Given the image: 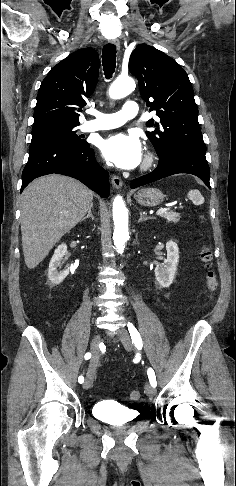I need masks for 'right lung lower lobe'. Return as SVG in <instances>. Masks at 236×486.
<instances>
[{
	"mask_svg": "<svg viewBox=\"0 0 236 486\" xmlns=\"http://www.w3.org/2000/svg\"><path fill=\"white\" fill-rule=\"evenodd\" d=\"M52 173L78 179L100 196L109 197V174L99 166L87 142L82 145L50 141L31 143L20 193L35 178Z\"/></svg>",
	"mask_w": 236,
	"mask_h": 486,
	"instance_id": "obj_1",
	"label": "right lung lower lobe"
}]
</instances>
